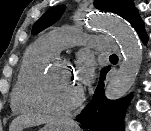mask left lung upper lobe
Listing matches in <instances>:
<instances>
[{
	"label": "left lung upper lobe",
	"mask_w": 151,
	"mask_h": 131,
	"mask_svg": "<svg viewBox=\"0 0 151 131\" xmlns=\"http://www.w3.org/2000/svg\"><path fill=\"white\" fill-rule=\"evenodd\" d=\"M94 6L99 10L118 14L130 23L138 14L132 0H95ZM64 10L65 6L58 5L46 11L33 25L32 34H37L55 23Z\"/></svg>",
	"instance_id": "left-lung-upper-lobe-1"
}]
</instances>
